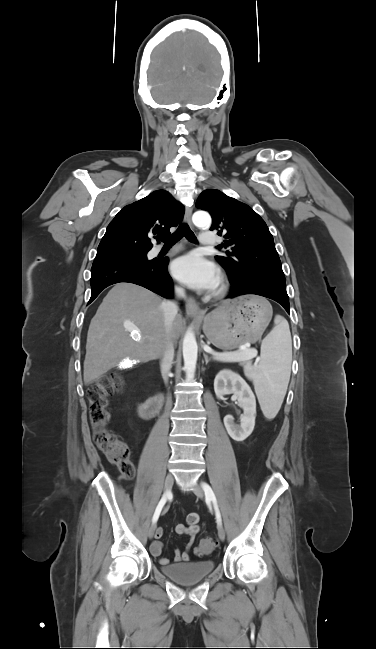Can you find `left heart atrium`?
Here are the masks:
<instances>
[{
	"instance_id": "1",
	"label": "left heart atrium",
	"mask_w": 376,
	"mask_h": 649,
	"mask_svg": "<svg viewBox=\"0 0 376 649\" xmlns=\"http://www.w3.org/2000/svg\"><path fill=\"white\" fill-rule=\"evenodd\" d=\"M171 270L178 281L194 289H212L219 281L217 267L195 253L177 258Z\"/></svg>"
}]
</instances>
